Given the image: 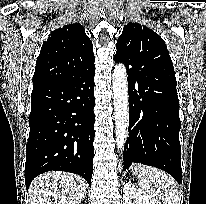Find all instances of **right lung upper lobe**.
<instances>
[{"label":"right lung upper lobe","mask_w":206,"mask_h":204,"mask_svg":"<svg viewBox=\"0 0 206 204\" xmlns=\"http://www.w3.org/2000/svg\"><path fill=\"white\" fill-rule=\"evenodd\" d=\"M94 63L93 45L79 23L50 34L36 61L33 87L75 75Z\"/></svg>","instance_id":"1"}]
</instances>
